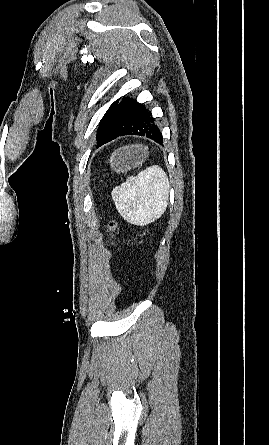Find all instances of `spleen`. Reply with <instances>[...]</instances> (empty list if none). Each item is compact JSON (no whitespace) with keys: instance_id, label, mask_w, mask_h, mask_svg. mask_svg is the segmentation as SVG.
<instances>
[{"instance_id":"obj_1","label":"spleen","mask_w":269,"mask_h":445,"mask_svg":"<svg viewBox=\"0 0 269 445\" xmlns=\"http://www.w3.org/2000/svg\"><path fill=\"white\" fill-rule=\"evenodd\" d=\"M169 179L158 165L130 176L112 190V199L124 220L144 226L165 212L169 199Z\"/></svg>"}]
</instances>
